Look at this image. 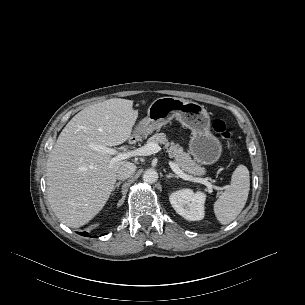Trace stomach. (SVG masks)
Masks as SVG:
<instances>
[{"label": "stomach", "instance_id": "1", "mask_svg": "<svg viewBox=\"0 0 305 305\" xmlns=\"http://www.w3.org/2000/svg\"><path fill=\"white\" fill-rule=\"evenodd\" d=\"M176 118L182 126L192 131L189 152L205 165L217 162L222 154V144L210 132V116L204 106L177 97H161L154 100L135 130L148 135Z\"/></svg>", "mask_w": 305, "mask_h": 305}]
</instances>
